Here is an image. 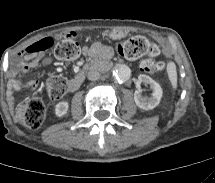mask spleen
<instances>
[{"mask_svg": "<svg viewBox=\"0 0 215 183\" xmlns=\"http://www.w3.org/2000/svg\"><path fill=\"white\" fill-rule=\"evenodd\" d=\"M167 72L172 88L174 90L177 89V71L174 63H169L167 67Z\"/></svg>", "mask_w": 215, "mask_h": 183, "instance_id": "1", "label": "spleen"}]
</instances>
